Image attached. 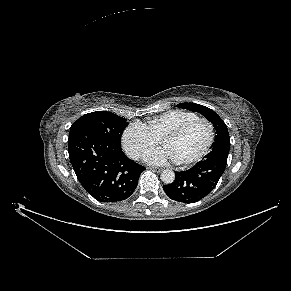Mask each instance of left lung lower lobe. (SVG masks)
<instances>
[{
    "label": "left lung lower lobe",
    "mask_w": 291,
    "mask_h": 291,
    "mask_svg": "<svg viewBox=\"0 0 291 291\" xmlns=\"http://www.w3.org/2000/svg\"><path fill=\"white\" fill-rule=\"evenodd\" d=\"M229 149L230 142L213 145L211 152L194 167L175 172L174 182L163 186L165 193L182 203H194L207 196L225 170Z\"/></svg>",
    "instance_id": "obj_1"
}]
</instances>
